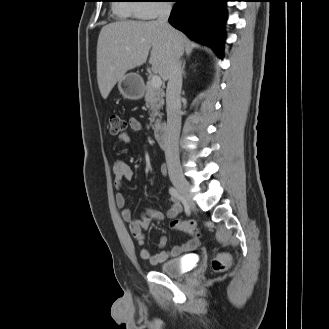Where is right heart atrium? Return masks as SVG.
<instances>
[{
	"label": "right heart atrium",
	"mask_w": 329,
	"mask_h": 329,
	"mask_svg": "<svg viewBox=\"0 0 329 329\" xmlns=\"http://www.w3.org/2000/svg\"><path fill=\"white\" fill-rule=\"evenodd\" d=\"M144 3L138 4L136 14L140 19H154L159 14L167 11V0H141Z\"/></svg>",
	"instance_id": "1"
}]
</instances>
